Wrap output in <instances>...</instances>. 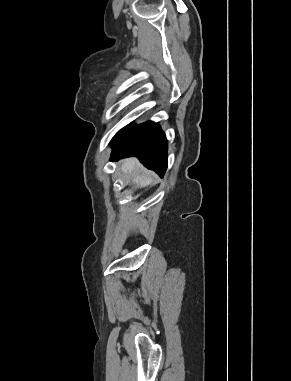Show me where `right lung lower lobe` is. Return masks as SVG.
<instances>
[{
	"instance_id": "obj_1",
	"label": "right lung lower lobe",
	"mask_w": 291,
	"mask_h": 381,
	"mask_svg": "<svg viewBox=\"0 0 291 381\" xmlns=\"http://www.w3.org/2000/svg\"><path fill=\"white\" fill-rule=\"evenodd\" d=\"M167 146L166 136L157 123H130L113 141L111 160L136 156L148 169L163 176L167 169Z\"/></svg>"
}]
</instances>
